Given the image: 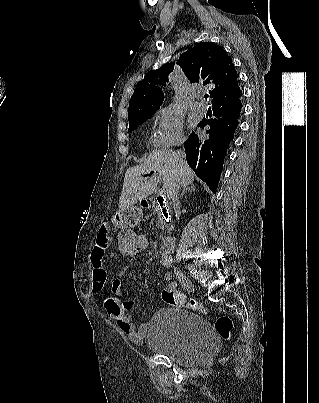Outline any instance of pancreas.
I'll return each instance as SVG.
<instances>
[{"instance_id":"pancreas-1","label":"pancreas","mask_w":319,"mask_h":403,"mask_svg":"<svg viewBox=\"0 0 319 403\" xmlns=\"http://www.w3.org/2000/svg\"><path fill=\"white\" fill-rule=\"evenodd\" d=\"M155 214H157V227L158 229H162L165 230L167 227V223L165 220V217L162 213L161 207L160 206H156L155 210H154Z\"/></svg>"}]
</instances>
